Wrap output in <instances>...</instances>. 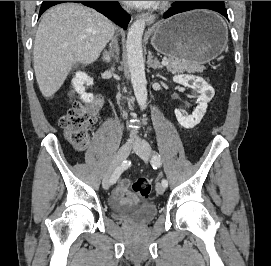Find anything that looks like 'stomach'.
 <instances>
[{"mask_svg":"<svg viewBox=\"0 0 271 266\" xmlns=\"http://www.w3.org/2000/svg\"><path fill=\"white\" fill-rule=\"evenodd\" d=\"M152 46L169 58L205 64L219 56L228 40L225 23L214 12L195 10L157 23Z\"/></svg>","mask_w":271,"mask_h":266,"instance_id":"obj_1","label":"stomach"}]
</instances>
